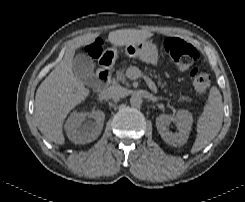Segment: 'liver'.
<instances>
[{
  "label": "liver",
  "instance_id": "6515ba94",
  "mask_svg": "<svg viewBox=\"0 0 245 202\" xmlns=\"http://www.w3.org/2000/svg\"><path fill=\"white\" fill-rule=\"evenodd\" d=\"M153 34L145 30L122 29L112 31L108 41L118 47L145 41ZM99 33L74 38L66 48L63 59L45 78L35 96V122L40 132L55 144H64L62 127L68 113L90 94L72 70L75 50L95 41Z\"/></svg>",
  "mask_w": 245,
  "mask_h": 202
}]
</instances>
